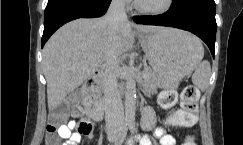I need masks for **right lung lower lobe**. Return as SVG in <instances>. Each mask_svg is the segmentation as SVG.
Instances as JSON below:
<instances>
[{"label":"right lung lower lobe","instance_id":"obj_1","mask_svg":"<svg viewBox=\"0 0 243 145\" xmlns=\"http://www.w3.org/2000/svg\"><path fill=\"white\" fill-rule=\"evenodd\" d=\"M110 2L111 0H48L42 47L63 24L77 18L100 17L105 14Z\"/></svg>","mask_w":243,"mask_h":145}]
</instances>
